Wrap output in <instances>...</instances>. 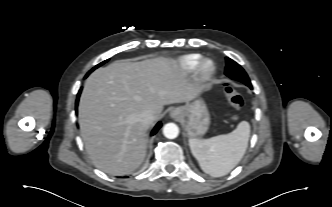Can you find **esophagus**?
Here are the masks:
<instances>
[{
  "instance_id": "esophagus-1",
  "label": "esophagus",
  "mask_w": 332,
  "mask_h": 207,
  "mask_svg": "<svg viewBox=\"0 0 332 207\" xmlns=\"http://www.w3.org/2000/svg\"><path fill=\"white\" fill-rule=\"evenodd\" d=\"M181 114V111L179 109H174L172 112H171V116L172 117H177Z\"/></svg>"
}]
</instances>
